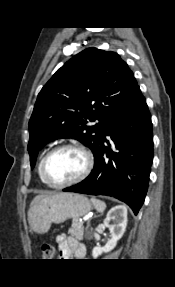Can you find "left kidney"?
<instances>
[{
	"label": "left kidney",
	"instance_id": "1",
	"mask_svg": "<svg viewBox=\"0 0 175 287\" xmlns=\"http://www.w3.org/2000/svg\"><path fill=\"white\" fill-rule=\"evenodd\" d=\"M104 226L109 228L111 239L104 247L96 246L92 250V256L97 259L102 253L110 252L117 245V241L123 236L127 226V209L118 205L109 210L104 219Z\"/></svg>",
	"mask_w": 175,
	"mask_h": 287
}]
</instances>
